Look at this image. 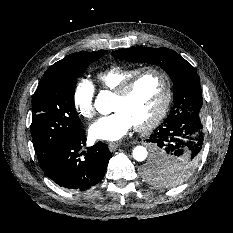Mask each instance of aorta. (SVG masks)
I'll return each mask as SVG.
<instances>
[{
	"label": "aorta",
	"instance_id": "aorta-1",
	"mask_svg": "<svg viewBox=\"0 0 233 233\" xmlns=\"http://www.w3.org/2000/svg\"><path fill=\"white\" fill-rule=\"evenodd\" d=\"M109 101L110 93L108 91H101L95 100L94 106L99 113L108 114L110 112ZM132 155L136 161L142 162L147 158L148 152L145 147L136 146L133 149Z\"/></svg>",
	"mask_w": 233,
	"mask_h": 233
}]
</instances>
